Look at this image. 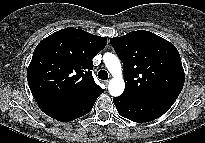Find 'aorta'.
<instances>
[{
  "label": "aorta",
  "mask_w": 205,
  "mask_h": 143,
  "mask_svg": "<svg viewBox=\"0 0 205 143\" xmlns=\"http://www.w3.org/2000/svg\"><path fill=\"white\" fill-rule=\"evenodd\" d=\"M104 63L113 78L109 82L108 91L110 95L120 96L125 88L122 76V67L119 58L112 53H105L103 56Z\"/></svg>",
  "instance_id": "obj_1"
}]
</instances>
